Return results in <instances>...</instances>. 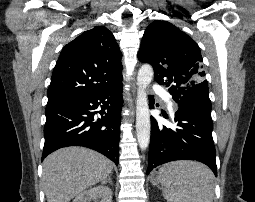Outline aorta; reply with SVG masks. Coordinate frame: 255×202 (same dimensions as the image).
<instances>
[{
  "label": "aorta",
  "mask_w": 255,
  "mask_h": 202,
  "mask_svg": "<svg viewBox=\"0 0 255 202\" xmlns=\"http://www.w3.org/2000/svg\"><path fill=\"white\" fill-rule=\"evenodd\" d=\"M153 75V68L149 64H144L137 75L136 133L141 150H146L150 143L151 122L146 89Z\"/></svg>",
  "instance_id": "obj_1"
}]
</instances>
